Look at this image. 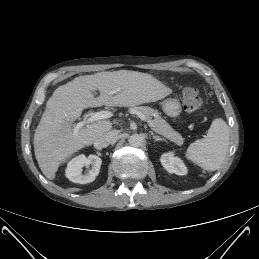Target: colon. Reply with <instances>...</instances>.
<instances>
[{
  "label": "colon",
  "mask_w": 259,
  "mask_h": 259,
  "mask_svg": "<svg viewBox=\"0 0 259 259\" xmlns=\"http://www.w3.org/2000/svg\"><path fill=\"white\" fill-rule=\"evenodd\" d=\"M184 109L191 114L199 115L203 110V102L199 91L193 87H187L183 91Z\"/></svg>",
  "instance_id": "1"
}]
</instances>
